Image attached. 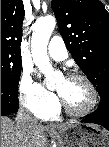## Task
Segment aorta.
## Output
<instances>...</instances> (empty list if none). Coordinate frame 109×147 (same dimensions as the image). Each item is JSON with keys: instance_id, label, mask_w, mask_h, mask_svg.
<instances>
[{"instance_id": "obj_1", "label": "aorta", "mask_w": 109, "mask_h": 147, "mask_svg": "<svg viewBox=\"0 0 109 147\" xmlns=\"http://www.w3.org/2000/svg\"><path fill=\"white\" fill-rule=\"evenodd\" d=\"M56 19L52 15L37 20L33 26L31 38L32 57L40 72L45 75L47 84L57 80L59 74L55 72L50 64L47 54V46L50 36L55 28Z\"/></svg>"}]
</instances>
